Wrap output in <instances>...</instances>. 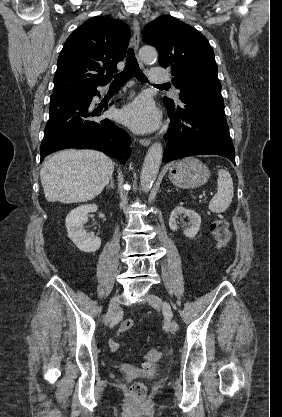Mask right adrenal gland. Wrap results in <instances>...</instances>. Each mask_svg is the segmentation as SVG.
Returning a JSON list of instances; mask_svg holds the SVG:
<instances>
[{"label":"right adrenal gland","mask_w":282,"mask_h":417,"mask_svg":"<svg viewBox=\"0 0 282 417\" xmlns=\"http://www.w3.org/2000/svg\"><path fill=\"white\" fill-rule=\"evenodd\" d=\"M106 188H115L114 182H113V176L110 178V184H106Z\"/></svg>","instance_id":"2a0ac1e0"}]
</instances>
